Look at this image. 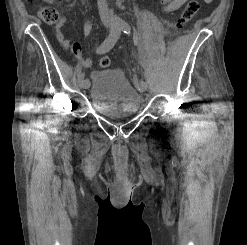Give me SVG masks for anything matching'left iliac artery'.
I'll return each instance as SVG.
<instances>
[{
    "mask_svg": "<svg viewBox=\"0 0 247 245\" xmlns=\"http://www.w3.org/2000/svg\"><path fill=\"white\" fill-rule=\"evenodd\" d=\"M119 26H120L121 30H122L125 34H130L131 28H130V26H129L128 23L122 22ZM140 84L143 85V86H147L146 83H145L144 81H141Z\"/></svg>",
    "mask_w": 247,
    "mask_h": 245,
    "instance_id": "1",
    "label": "left iliac artery"
}]
</instances>
